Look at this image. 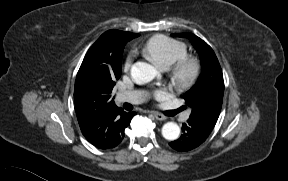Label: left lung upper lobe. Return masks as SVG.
I'll list each match as a JSON object with an SVG mask.
<instances>
[{
	"mask_svg": "<svg viewBox=\"0 0 288 181\" xmlns=\"http://www.w3.org/2000/svg\"><path fill=\"white\" fill-rule=\"evenodd\" d=\"M188 38L198 51L202 73L196 84L185 93L186 104L191 108L190 117L215 125L222 107L224 81L218 59L212 48L191 33L177 34Z\"/></svg>",
	"mask_w": 288,
	"mask_h": 181,
	"instance_id": "obj_1",
	"label": "left lung upper lobe"
}]
</instances>
